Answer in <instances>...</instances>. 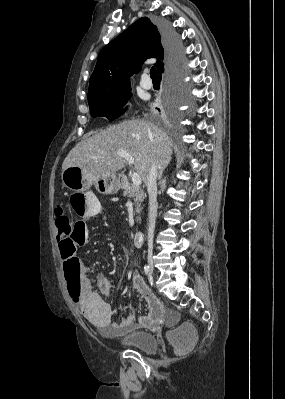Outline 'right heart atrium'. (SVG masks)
I'll return each mask as SVG.
<instances>
[{
  "instance_id": "right-heart-atrium-1",
  "label": "right heart atrium",
  "mask_w": 285,
  "mask_h": 399,
  "mask_svg": "<svg viewBox=\"0 0 285 399\" xmlns=\"http://www.w3.org/2000/svg\"><path fill=\"white\" fill-rule=\"evenodd\" d=\"M123 109H128L130 107V102L128 100H123L121 103Z\"/></svg>"
}]
</instances>
